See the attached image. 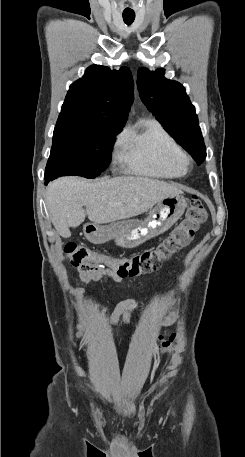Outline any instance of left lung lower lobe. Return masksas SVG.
Segmentation results:
<instances>
[{"label":"left lung lower lobe","instance_id":"obj_1","mask_svg":"<svg viewBox=\"0 0 245 457\" xmlns=\"http://www.w3.org/2000/svg\"><path fill=\"white\" fill-rule=\"evenodd\" d=\"M204 160H202L201 162L198 163V165H200Z\"/></svg>","mask_w":245,"mask_h":457}]
</instances>
